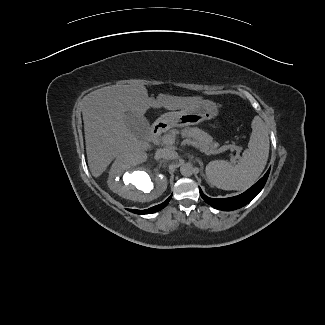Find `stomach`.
<instances>
[{"mask_svg":"<svg viewBox=\"0 0 325 325\" xmlns=\"http://www.w3.org/2000/svg\"><path fill=\"white\" fill-rule=\"evenodd\" d=\"M217 114L218 105L213 101L203 100L199 104L182 109L181 111L163 114L159 120L172 127H184L212 119L216 117Z\"/></svg>","mask_w":325,"mask_h":325,"instance_id":"0dacf381","label":"stomach"}]
</instances>
